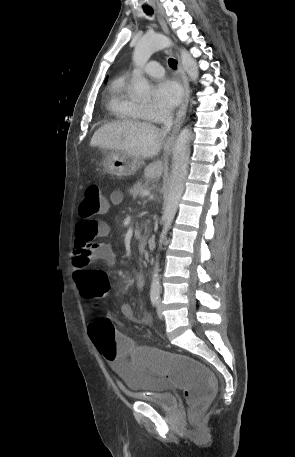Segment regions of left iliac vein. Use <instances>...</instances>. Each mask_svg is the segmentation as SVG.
<instances>
[{"mask_svg": "<svg viewBox=\"0 0 295 457\" xmlns=\"http://www.w3.org/2000/svg\"><path fill=\"white\" fill-rule=\"evenodd\" d=\"M157 314H158V317L159 318H163V314H162V304H161V301L159 300L158 301V304H157Z\"/></svg>", "mask_w": 295, "mask_h": 457, "instance_id": "left-iliac-vein-1", "label": "left iliac vein"}]
</instances>
